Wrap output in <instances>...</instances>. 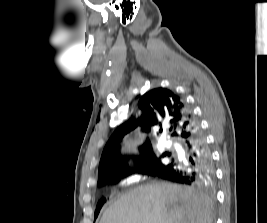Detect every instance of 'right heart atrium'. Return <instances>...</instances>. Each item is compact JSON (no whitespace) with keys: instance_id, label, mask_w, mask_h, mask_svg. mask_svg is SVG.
<instances>
[{"instance_id":"obj_1","label":"right heart atrium","mask_w":267,"mask_h":223,"mask_svg":"<svg viewBox=\"0 0 267 223\" xmlns=\"http://www.w3.org/2000/svg\"><path fill=\"white\" fill-rule=\"evenodd\" d=\"M143 178H144V176H143V173L141 172V170L132 171V172L124 175L120 179V181L118 183V187L126 188L129 186H132V185L140 182Z\"/></svg>"}]
</instances>
